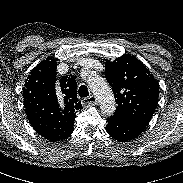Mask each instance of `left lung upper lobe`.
Instances as JSON below:
<instances>
[{
  "label": "left lung upper lobe",
  "mask_w": 183,
  "mask_h": 183,
  "mask_svg": "<svg viewBox=\"0 0 183 183\" xmlns=\"http://www.w3.org/2000/svg\"><path fill=\"white\" fill-rule=\"evenodd\" d=\"M105 77L117 104L113 117L146 126L156 109L159 84L136 57L125 54L106 61Z\"/></svg>",
  "instance_id": "1"
}]
</instances>
